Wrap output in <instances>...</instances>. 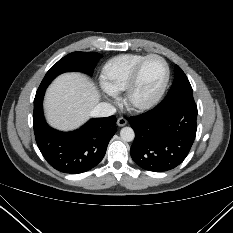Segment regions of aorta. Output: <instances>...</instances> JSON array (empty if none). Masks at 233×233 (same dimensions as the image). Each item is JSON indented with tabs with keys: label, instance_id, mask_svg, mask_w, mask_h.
<instances>
[{
	"label": "aorta",
	"instance_id": "aorta-1",
	"mask_svg": "<svg viewBox=\"0 0 233 233\" xmlns=\"http://www.w3.org/2000/svg\"><path fill=\"white\" fill-rule=\"evenodd\" d=\"M120 137L125 142H130L134 140L135 133L131 127H124L120 131Z\"/></svg>",
	"mask_w": 233,
	"mask_h": 233
}]
</instances>
